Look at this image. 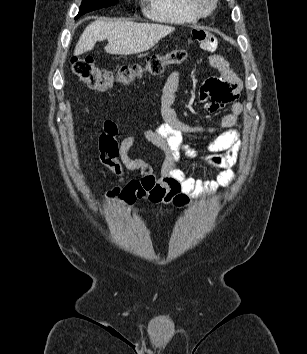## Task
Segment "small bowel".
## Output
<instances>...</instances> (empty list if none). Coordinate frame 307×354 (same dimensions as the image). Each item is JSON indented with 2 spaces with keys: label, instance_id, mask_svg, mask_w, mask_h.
Masks as SVG:
<instances>
[{
  "label": "small bowel",
  "instance_id": "1",
  "mask_svg": "<svg viewBox=\"0 0 307 354\" xmlns=\"http://www.w3.org/2000/svg\"><path fill=\"white\" fill-rule=\"evenodd\" d=\"M192 36L207 51L217 48L216 38L203 30H194ZM208 62L223 75L222 78L208 79L201 89V96L206 101V110L215 114L237 98L241 85L222 56L212 55ZM179 82V71L170 73L162 88L163 121L156 128L145 130L143 133L145 139L160 148L165 155L160 174H156L152 166L144 160L129 156L136 140L135 134L117 141V124L112 120L103 123V131L99 137L100 161L119 177V184L108 193L110 198H116L124 204L147 199L156 204L171 203L183 207L191 199L202 194H212L220 187L233 182L235 178L233 166L237 162L241 147L237 129L239 116L243 111L241 103L234 102L230 112L216 125L187 124L177 117L173 107ZM186 134L214 135L207 145L208 154L202 157L201 161L207 167L221 170L216 180L202 181L188 176L180 166L182 153L190 158L196 156V151L183 143ZM125 169L139 171L141 177L126 181Z\"/></svg>",
  "mask_w": 307,
  "mask_h": 354
}]
</instances>
